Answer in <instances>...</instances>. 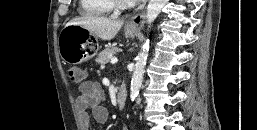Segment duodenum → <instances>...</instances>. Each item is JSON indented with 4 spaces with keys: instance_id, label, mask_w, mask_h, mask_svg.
Returning a JSON list of instances; mask_svg holds the SVG:
<instances>
[{
    "instance_id": "obj_1",
    "label": "duodenum",
    "mask_w": 257,
    "mask_h": 130,
    "mask_svg": "<svg viewBox=\"0 0 257 130\" xmlns=\"http://www.w3.org/2000/svg\"><path fill=\"white\" fill-rule=\"evenodd\" d=\"M127 102V92L124 87H120L117 93V105L119 109H123Z\"/></svg>"
}]
</instances>
